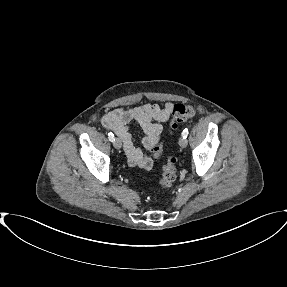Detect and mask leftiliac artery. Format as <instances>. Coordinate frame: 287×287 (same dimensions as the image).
Wrapping results in <instances>:
<instances>
[{"instance_id": "1", "label": "left iliac artery", "mask_w": 287, "mask_h": 287, "mask_svg": "<svg viewBox=\"0 0 287 287\" xmlns=\"http://www.w3.org/2000/svg\"><path fill=\"white\" fill-rule=\"evenodd\" d=\"M188 133H189V132H188V129H184L183 132H182L183 138H187Z\"/></svg>"}]
</instances>
